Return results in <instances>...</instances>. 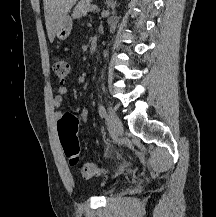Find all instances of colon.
Returning <instances> with one entry per match:
<instances>
[{
  "label": "colon",
  "instance_id": "obj_1",
  "mask_svg": "<svg viewBox=\"0 0 216 217\" xmlns=\"http://www.w3.org/2000/svg\"><path fill=\"white\" fill-rule=\"evenodd\" d=\"M55 76L60 80H66L70 64L65 58H55L52 65ZM80 120L71 114L64 115L58 122V133L65 157L71 165H76L79 161V143L77 140V131ZM80 174L84 178H91L99 174V168L94 164H83L79 168Z\"/></svg>",
  "mask_w": 216,
  "mask_h": 217
}]
</instances>
